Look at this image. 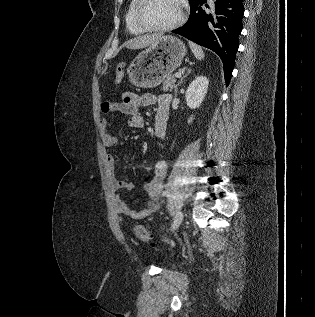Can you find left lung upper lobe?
<instances>
[{
	"mask_svg": "<svg viewBox=\"0 0 315 317\" xmlns=\"http://www.w3.org/2000/svg\"><path fill=\"white\" fill-rule=\"evenodd\" d=\"M193 0H189V3H191Z\"/></svg>",
	"mask_w": 315,
	"mask_h": 317,
	"instance_id": "obj_1",
	"label": "left lung upper lobe"
}]
</instances>
